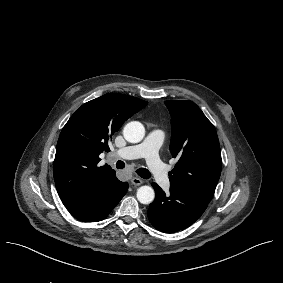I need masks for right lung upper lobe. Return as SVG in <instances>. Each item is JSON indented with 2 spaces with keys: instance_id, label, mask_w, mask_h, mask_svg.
<instances>
[{
  "instance_id": "1",
  "label": "right lung upper lobe",
  "mask_w": 283,
  "mask_h": 283,
  "mask_svg": "<svg viewBox=\"0 0 283 283\" xmlns=\"http://www.w3.org/2000/svg\"><path fill=\"white\" fill-rule=\"evenodd\" d=\"M147 104L141 99L108 93L83 104L61 131L53 164L56 189L65 207L91 198L110 186L115 171L97 166L100 153L121 125Z\"/></svg>"
}]
</instances>
